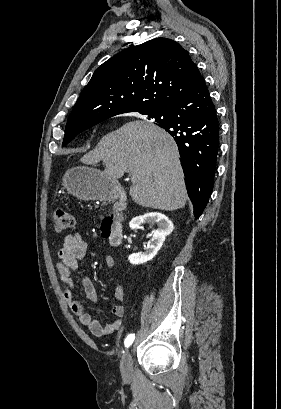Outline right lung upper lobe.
Listing matches in <instances>:
<instances>
[{"mask_svg": "<svg viewBox=\"0 0 281 409\" xmlns=\"http://www.w3.org/2000/svg\"><path fill=\"white\" fill-rule=\"evenodd\" d=\"M202 79L177 42L156 38L103 63L83 89L67 127H82L127 112H153L186 95Z\"/></svg>", "mask_w": 281, "mask_h": 409, "instance_id": "right-lung-upper-lobe-1", "label": "right lung upper lobe"}]
</instances>
